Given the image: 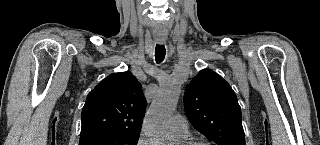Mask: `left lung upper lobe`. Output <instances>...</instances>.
<instances>
[{
	"label": "left lung upper lobe",
	"mask_w": 320,
	"mask_h": 145,
	"mask_svg": "<svg viewBox=\"0 0 320 145\" xmlns=\"http://www.w3.org/2000/svg\"><path fill=\"white\" fill-rule=\"evenodd\" d=\"M184 107L193 127L217 145H246L237 97L216 72L199 71L185 91Z\"/></svg>",
	"instance_id": "5c2ea615"
}]
</instances>
